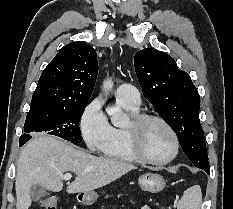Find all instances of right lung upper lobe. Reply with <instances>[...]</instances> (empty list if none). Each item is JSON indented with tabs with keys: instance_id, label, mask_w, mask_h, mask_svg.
I'll use <instances>...</instances> for the list:
<instances>
[{
	"instance_id": "right-lung-upper-lobe-1",
	"label": "right lung upper lobe",
	"mask_w": 233,
	"mask_h": 209,
	"mask_svg": "<svg viewBox=\"0 0 233 209\" xmlns=\"http://www.w3.org/2000/svg\"><path fill=\"white\" fill-rule=\"evenodd\" d=\"M97 74L96 51L84 42L69 43L43 70L31 107L69 108L88 103Z\"/></svg>"
}]
</instances>
